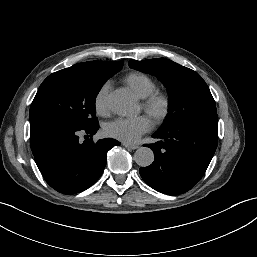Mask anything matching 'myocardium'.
Listing matches in <instances>:
<instances>
[{
    "instance_id": "obj_1",
    "label": "myocardium",
    "mask_w": 257,
    "mask_h": 257,
    "mask_svg": "<svg viewBox=\"0 0 257 257\" xmlns=\"http://www.w3.org/2000/svg\"><path fill=\"white\" fill-rule=\"evenodd\" d=\"M143 108L157 121L162 120L168 113L169 100L164 93L154 91L144 98Z\"/></svg>"
}]
</instances>
